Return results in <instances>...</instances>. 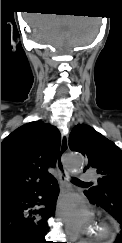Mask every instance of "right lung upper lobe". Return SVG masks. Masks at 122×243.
I'll list each match as a JSON object with an SVG mask.
<instances>
[{"label": "right lung upper lobe", "mask_w": 122, "mask_h": 243, "mask_svg": "<svg viewBox=\"0 0 122 243\" xmlns=\"http://www.w3.org/2000/svg\"><path fill=\"white\" fill-rule=\"evenodd\" d=\"M59 131L41 120L25 124L1 143V198L52 177L60 150Z\"/></svg>", "instance_id": "cb5924a9"}]
</instances>
